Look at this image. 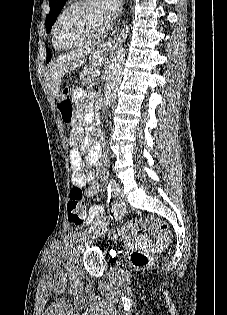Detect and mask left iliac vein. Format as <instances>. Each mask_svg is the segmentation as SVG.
I'll return each mask as SVG.
<instances>
[{
  "label": "left iliac vein",
  "mask_w": 227,
  "mask_h": 315,
  "mask_svg": "<svg viewBox=\"0 0 227 315\" xmlns=\"http://www.w3.org/2000/svg\"><path fill=\"white\" fill-rule=\"evenodd\" d=\"M114 190L116 193V204H115V209L117 212H119L125 205V196L121 190L120 184L116 183L114 184ZM107 230V223L103 222L100 224L98 229L95 232V237H100L103 235Z\"/></svg>",
  "instance_id": "obj_1"
}]
</instances>
